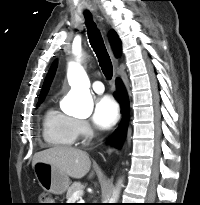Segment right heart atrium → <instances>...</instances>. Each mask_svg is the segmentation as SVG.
<instances>
[{
    "instance_id": "d8ad5b80",
    "label": "right heart atrium",
    "mask_w": 200,
    "mask_h": 205,
    "mask_svg": "<svg viewBox=\"0 0 200 205\" xmlns=\"http://www.w3.org/2000/svg\"><path fill=\"white\" fill-rule=\"evenodd\" d=\"M75 127L77 136L83 139H90L94 134L90 124L85 120H76Z\"/></svg>"
}]
</instances>
